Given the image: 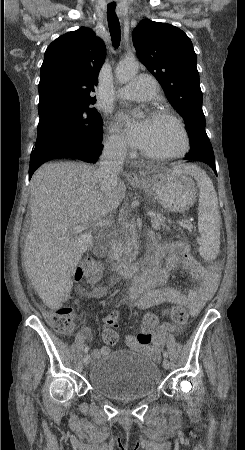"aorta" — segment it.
<instances>
[{"label":"aorta","mask_w":245,"mask_h":450,"mask_svg":"<svg viewBox=\"0 0 245 450\" xmlns=\"http://www.w3.org/2000/svg\"><path fill=\"white\" fill-rule=\"evenodd\" d=\"M138 72V63L135 60L121 61L116 67V77L122 82H128Z\"/></svg>","instance_id":"aorta-1"}]
</instances>
